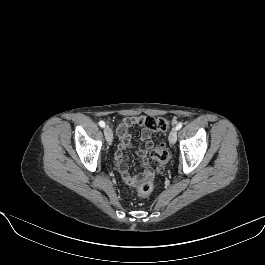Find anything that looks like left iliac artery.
Segmentation results:
<instances>
[{
  "mask_svg": "<svg viewBox=\"0 0 265 265\" xmlns=\"http://www.w3.org/2000/svg\"><path fill=\"white\" fill-rule=\"evenodd\" d=\"M183 126V123H178L177 126L175 127L176 130H179L181 129V127Z\"/></svg>",
  "mask_w": 265,
  "mask_h": 265,
  "instance_id": "obj_1",
  "label": "left iliac artery"
}]
</instances>
